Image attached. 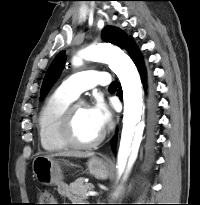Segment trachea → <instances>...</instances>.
<instances>
[{
  "instance_id": "1",
  "label": "trachea",
  "mask_w": 200,
  "mask_h": 205,
  "mask_svg": "<svg viewBox=\"0 0 200 205\" xmlns=\"http://www.w3.org/2000/svg\"><path fill=\"white\" fill-rule=\"evenodd\" d=\"M116 87H117L116 83L113 82V83L110 84L109 89H116Z\"/></svg>"
}]
</instances>
